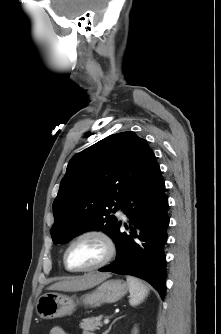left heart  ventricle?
Masks as SVG:
<instances>
[{
  "label": "left heart ventricle",
  "mask_w": 221,
  "mask_h": 334,
  "mask_svg": "<svg viewBox=\"0 0 221 334\" xmlns=\"http://www.w3.org/2000/svg\"><path fill=\"white\" fill-rule=\"evenodd\" d=\"M105 255V246L101 240L88 237L75 243L69 251L70 266L84 268L98 263Z\"/></svg>",
  "instance_id": "obj_1"
}]
</instances>
